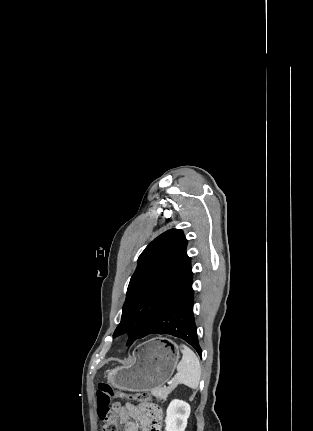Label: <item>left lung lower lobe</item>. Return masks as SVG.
<instances>
[{
	"label": "left lung lower lobe",
	"instance_id": "1",
	"mask_svg": "<svg viewBox=\"0 0 313 431\" xmlns=\"http://www.w3.org/2000/svg\"><path fill=\"white\" fill-rule=\"evenodd\" d=\"M194 292L192 282L168 301L138 336L169 334L185 340L202 356L193 315Z\"/></svg>",
	"mask_w": 313,
	"mask_h": 431
}]
</instances>
